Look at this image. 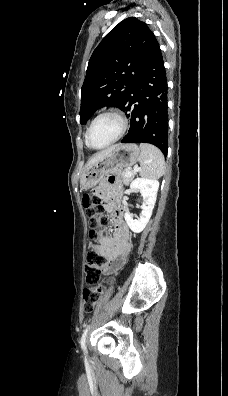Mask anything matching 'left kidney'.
<instances>
[{
  "label": "left kidney",
  "mask_w": 228,
  "mask_h": 396,
  "mask_svg": "<svg viewBox=\"0 0 228 396\" xmlns=\"http://www.w3.org/2000/svg\"><path fill=\"white\" fill-rule=\"evenodd\" d=\"M131 190H139L142 197L143 203L141 206V214L138 219H133V216L129 213H125V221L129 228L136 233H140L144 230L147 223L150 220L152 211L156 202L157 191L159 188V182L154 179L148 178H136L130 184Z\"/></svg>",
  "instance_id": "5707ae66"
}]
</instances>
